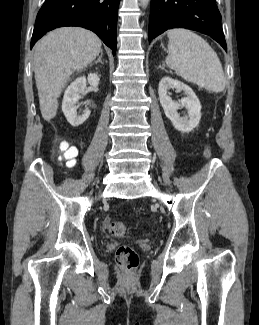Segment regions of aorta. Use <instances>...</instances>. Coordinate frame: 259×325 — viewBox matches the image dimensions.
I'll use <instances>...</instances> for the list:
<instances>
[{
    "instance_id": "aorta-1",
    "label": "aorta",
    "mask_w": 259,
    "mask_h": 325,
    "mask_svg": "<svg viewBox=\"0 0 259 325\" xmlns=\"http://www.w3.org/2000/svg\"><path fill=\"white\" fill-rule=\"evenodd\" d=\"M150 0H140V4L143 8H146Z\"/></svg>"
}]
</instances>
